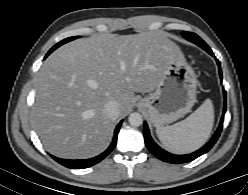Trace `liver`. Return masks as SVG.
I'll return each mask as SVG.
<instances>
[{"mask_svg": "<svg viewBox=\"0 0 248 195\" xmlns=\"http://www.w3.org/2000/svg\"><path fill=\"white\" fill-rule=\"evenodd\" d=\"M175 57H183L180 48L154 31L93 35L58 48L36 80L32 116L44 148L67 159L103 152L116 120L104 115L105 104L117 101L119 117L126 115L134 92L154 91Z\"/></svg>", "mask_w": 248, "mask_h": 195, "instance_id": "6515ba94", "label": "liver"}]
</instances>
